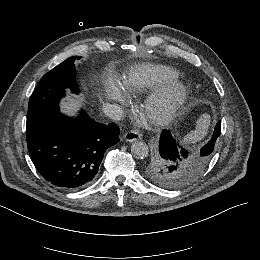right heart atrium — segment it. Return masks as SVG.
Wrapping results in <instances>:
<instances>
[{
    "mask_svg": "<svg viewBox=\"0 0 260 260\" xmlns=\"http://www.w3.org/2000/svg\"><path fill=\"white\" fill-rule=\"evenodd\" d=\"M98 95L107 99H115L120 97L109 78H105L100 83L98 87Z\"/></svg>",
    "mask_w": 260,
    "mask_h": 260,
    "instance_id": "obj_1",
    "label": "right heart atrium"
}]
</instances>
